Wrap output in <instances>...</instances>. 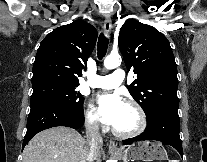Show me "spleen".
I'll list each match as a JSON object with an SVG mask.
<instances>
[{
  "label": "spleen",
  "mask_w": 207,
  "mask_h": 162,
  "mask_svg": "<svg viewBox=\"0 0 207 162\" xmlns=\"http://www.w3.org/2000/svg\"><path fill=\"white\" fill-rule=\"evenodd\" d=\"M169 162H179L178 160H169Z\"/></svg>",
  "instance_id": "1"
}]
</instances>
